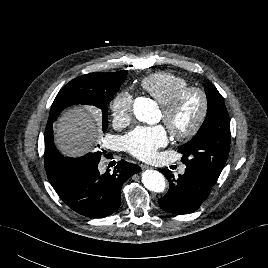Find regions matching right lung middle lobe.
<instances>
[{
    "label": "right lung middle lobe",
    "mask_w": 268,
    "mask_h": 268,
    "mask_svg": "<svg viewBox=\"0 0 268 268\" xmlns=\"http://www.w3.org/2000/svg\"><path fill=\"white\" fill-rule=\"evenodd\" d=\"M113 95L104 101L93 103L92 105L100 108L103 113V121H102V129L105 132L108 127V111L107 104L111 101ZM62 99H55L51 111L59 108L61 105ZM50 111V113H51ZM98 155L97 152L88 153L87 155L80 158H69L61 155L56 149L53 137L51 139V143L45 142V168L47 172L48 179L57 192V194L63 193L70 184L76 178V174L80 169H82V165L87 163V159L91 156Z\"/></svg>",
    "instance_id": "1"
}]
</instances>
